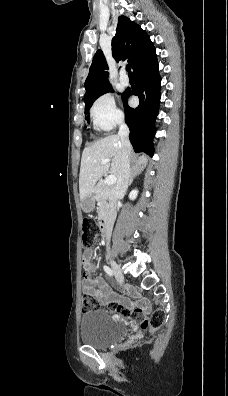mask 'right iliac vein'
<instances>
[{
  "mask_svg": "<svg viewBox=\"0 0 228 396\" xmlns=\"http://www.w3.org/2000/svg\"><path fill=\"white\" fill-rule=\"evenodd\" d=\"M109 263L111 265V268H112L113 273L116 276V278L122 281L124 279V275H123V272H122L120 266L116 263L115 260H113L111 258L109 259Z\"/></svg>",
  "mask_w": 228,
  "mask_h": 396,
  "instance_id": "obj_1",
  "label": "right iliac vein"
}]
</instances>
